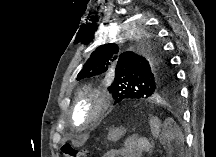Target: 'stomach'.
Segmentation results:
<instances>
[{
    "mask_svg": "<svg viewBox=\"0 0 216 157\" xmlns=\"http://www.w3.org/2000/svg\"><path fill=\"white\" fill-rule=\"evenodd\" d=\"M126 130L124 128H114V129H111L108 133V139L109 140H118L121 135L124 134Z\"/></svg>",
    "mask_w": 216,
    "mask_h": 157,
    "instance_id": "obj_1",
    "label": "stomach"
}]
</instances>
